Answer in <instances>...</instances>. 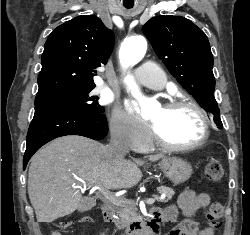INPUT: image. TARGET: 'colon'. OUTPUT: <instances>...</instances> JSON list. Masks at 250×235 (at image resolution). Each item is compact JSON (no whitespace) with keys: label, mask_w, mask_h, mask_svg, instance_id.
Instances as JSON below:
<instances>
[{"label":"colon","mask_w":250,"mask_h":235,"mask_svg":"<svg viewBox=\"0 0 250 235\" xmlns=\"http://www.w3.org/2000/svg\"><path fill=\"white\" fill-rule=\"evenodd\" d=\"M205 173L207 178L212 182H219L223 177V167L219 161L212 160L210 161L205 169ZM223 214V207L218 203H213L210 205L206 212L207 221L210 227L217 231L220 229L222 222L221 217ZM83 222H92L90 218H86ZM68 227L67 223L61 225L62 229H66ZM51 235H62V232L59 230L53 231Z\"/></svg>","instance_id":"5ec220e1"}]
</instances>
